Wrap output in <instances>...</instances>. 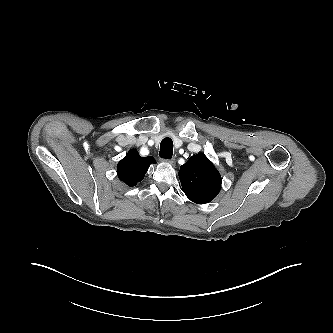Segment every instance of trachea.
Returning <instances> with one entry per match:
<instances>
[{
  "mask_svg": "<svg viewBox=\"0 0 333 333\" xmlns=\"http://www.w3.org/2000/svg\"><path fill=\"white\" fill-rule=\"evenodd\" d=\"M173 154V141L166 137L161 141L159 156L164 159H171Z\"/></svg>",
  "mask_w": 333,
  "mask_h": 333,
  "instance_id": "trachea-1",
  "label": "trachea"
}]
</instances>
